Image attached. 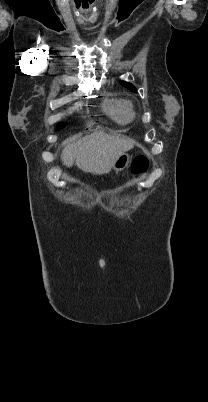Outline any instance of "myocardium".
Listing matches in <instances>:
<instances>
[{
    "label": "myocardium",
    "instance_id": "obj_1",
    "mask_svg": "<svg viewBox=\"0 0 208 402\" xmlns=\"http://www.w3.org/2000/svg\"><path fill=\"white\" fill-rule=\"evenodd\" d=\"M128 108L133 111V105L131 103H127Z\"/></svg>",
    "mask_w": 208,
    "mask_h": 402
}]
</instances>
